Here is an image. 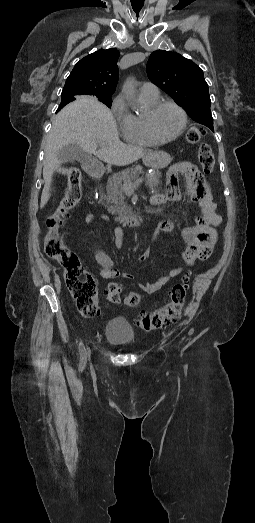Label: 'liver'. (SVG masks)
Listing matches in <instances>:
<instances>
[{"label":"liver","instance_id":"liver-1","mask_svg":"<svg viewBox=\"0 0 255 523\" xmlns=\"http://www.w3.org/2000/svg\"><path fill=\"white\" fill-rule=\"evenodd\" d=\"M67 144H79L87 154H94L96 158L114 164V166H129L136 160L148 154H159L165 162L168 154L165 152H151L144 154L142 148L127 146L120 142L116 120L109 108L91 96H80L78 100L65 106L52 120V128L47 138L45 148V164L43 168L44 188L41 196L40 208H44L51 194L54 172L59 170L61 160L58 150ZM97 144L101 150H97Z\"/></svg>","mask_w":255,"mask_h":523}]
</instances>
